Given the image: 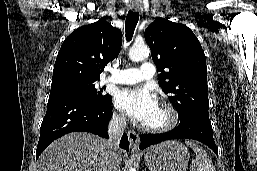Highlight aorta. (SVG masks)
Returning a JSON list of instances; mask_svg holds the SVG:
<instances>
[{"mask_svg": "<svg viewBox=\"0 0 257 171\" xmlns=\"http://www.w3.org/2000/svg\"><path fill=\"white\" fill-rule=\"evenodd\" d=\"M150 50L145 44H134L129 50V57L132 61H141L149 56ZM131 171V170H130Z\"/></svg>", "mask_w": 257, "mask_h": 171, "instance_id": "obj_1", "label": "aorta"}]
</instances>
